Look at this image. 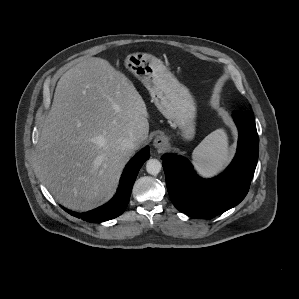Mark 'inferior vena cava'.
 <instances>
[{"label": "inferior vena cava", "mask_w": 299, "mask_h": 299, "mask_svg": "<svg viewBox=\"0 0 299 299\" xmlns=\"http://www.w3.org/2000/svg\"><path fill=\"white\" fill-rule=\"evenodd\" d=\"M137 142H138V140L135 137H131V138H128V139H124L121 142V146L125 149H128V150H134L135 147H136Z\"/></svg>", "instance_id": "obj_1"}]
</instances>
